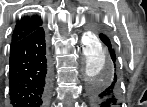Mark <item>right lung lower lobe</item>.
<instances>
[{"mask_svg":"<svg viewBox=\"0 0 147 107\" xmlns=\"http://www.w3.org/2000/svg\"><path fill=\"white\" fill-rule=\"evenodd\" d=\"M9 65L12 107H46L50 70L42 27L11 44Z\"/></svg>","mask_w":147,"mask_h":107,"instance_id":"1","label":"right lung lower lobe"}]
</instances>
